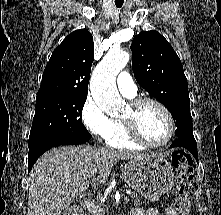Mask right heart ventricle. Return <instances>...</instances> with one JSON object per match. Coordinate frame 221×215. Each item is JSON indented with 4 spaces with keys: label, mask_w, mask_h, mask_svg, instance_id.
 Instances as JSON below:
<instances>
[{
    "label": "right heart ventricle",
    "mask_w": 221,
    "mask_h": 215,
    "mask_svg": "<svg viewBox=\"0 0 221 215\" xmlns=\"http://www.w3.org/2000/svg\"><path fill=\"white\" fill-rule=\"evenodd\" d=\"M106 143L114 148L124 150H137L142 146L131 139L122 119H112V131L105 138Z\"/></svg>",
    "instance_id": "obj_1"
}]
</instances>
